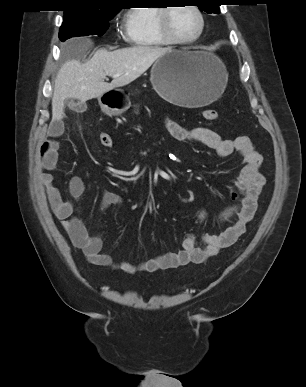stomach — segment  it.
<instances>
[{
    "mask_svg": "<svg viewBox=\"0 0 306 387\" xmlns=\"http://www.w3.org/2000/svg\"><path fill=\"white\" fill-rule=\"evenodd\" d=\"M151 83L166 101L196 108L207 105L223 93L228 75L224 64L205 51L170 50L151 69ZM102 111L120 115L130 107L129 97L115 88L98 97Z\"/></svg>",
    "mask_w": 306,
    "mask_h": 387,
    "instance_id": "0dacf381",
    "label": "stomach"
}]
</instances>
